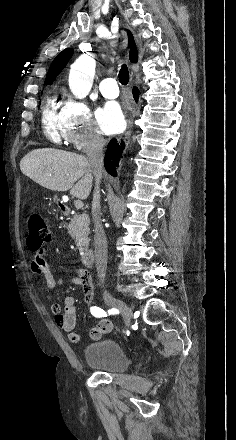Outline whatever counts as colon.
<instances>
[{"mask_svg": "<svg viewBox=\"0 0 236 440\" xmlns=\"http://www.w3.org/2000/svg\"><path fill=\"white\" fill-rule=\"evenodd\" d=\"M27 245L32 250H39L52 238L51 229L47 226L44 218L35 212L28 214L26 219Z\"/></svg>", "mask_w": 236, "mask_h": 440, "instance_id": "5ec220e1", "label": "colon"}]
</instances>
